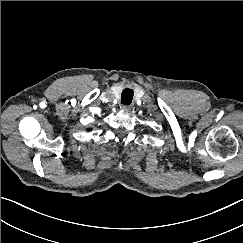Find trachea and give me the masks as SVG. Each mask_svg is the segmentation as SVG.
Returning a JSON list of instances; mask_svg holds the SVG:
<instances>
[{
    "label": "trachea",
    "instance_id": "obj_1",
    "mask_svg": "<svg viewBox=\"0 0 243 243\" xmlns=\"http://www.w3.org/2000/svg\"><path fill=\"white\" fill-rule=\"evenodd\" d=\"M133 99V90L126 88L122 91L121 94V103L125 105H129Z\"/></svg>",
    "mask_w": 243,
    "mask_h": 243
}]
</instances>
